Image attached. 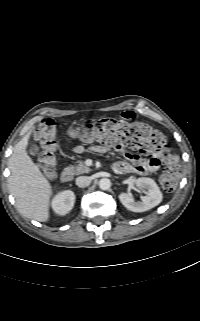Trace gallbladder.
<instances>
[{"label":"gallbladder","instance_id":"bac80fb5","mask_svg":"<svg viewBox=\"0 0 200 321\" xmlns=\"http://www.w3.org/2000/svg\"><path fill=\"white\" fill-rule=\"evenodd\" d=\"M29 153L32 156H37L39 154V147L37 145H31L29 148Z\"/></svg>","mask_w":200,"mask_h":321}]
</instances>
